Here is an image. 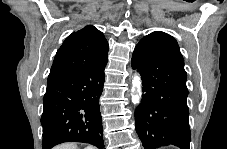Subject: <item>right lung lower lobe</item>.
Listing matches in <instances>:
<instances>
[{
	"instance_id": "right-lung-lower-lobe-1",
	"label": "right lung lower lobe",
	"mask_w": 227,
	"mask_h": 149,
	"mask_svg": "<svg viewBox=\"0 0 227 149\" xmlns=\"http://www.w3.org/2000/svg\"><path fill=\"white\" fill-rule=\"evenodd\" d=\"M106 64L47 84L41 116L43 149L72 141L104 147L99 98Z\"/></svg>"
}]
</instances>
